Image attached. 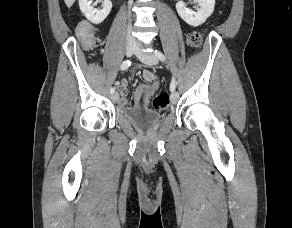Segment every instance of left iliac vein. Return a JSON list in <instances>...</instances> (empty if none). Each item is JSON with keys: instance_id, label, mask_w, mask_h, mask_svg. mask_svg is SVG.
Wrapping results in <instances>:
<instances>
[{"instance_id": "4c4485c4", "label": "left iliac vein", "mask_w": 292, "mask_h": 228, "mask_svg": "<svg viewBox=\"0 0 292 228\" xmlns=\"http://www.w3.org/2000/svg\"><path fill=\"white\" fill-rule=\"evenodd\" d=\"M136 56L146 65H156L158 63V59L153 54H148L140 51L139 49L135 52ZM179 94L178 92H172L170 95V100L173 104L178 101Z\"/></svg>"}]
</instances>
